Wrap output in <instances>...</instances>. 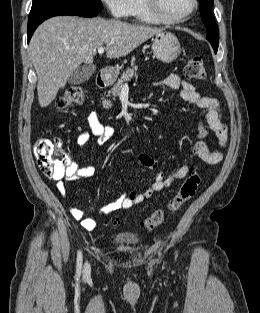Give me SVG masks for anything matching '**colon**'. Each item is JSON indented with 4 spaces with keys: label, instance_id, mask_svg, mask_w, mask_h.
Returning <instances> with one entry per match:
<instances>
[{
    "label": "colon",
    "instance_id": "obj_1",
    "mask_svg": "<svg viewBox=\"0 0 260 313\" xmlns=\"http://www.w3.org/2000/svg\"><path fill=\"white\" fill-rule=\"evenodd\" d=\"M185 75L187 78L197 81L205 80L206 70L203 59L201 57H192L189 59L185 67ZM84 99V90L80 86H72L66 92L58 97L55 101V108L64 110L71 106L81 103ZM34 155L40 171L48 178L58 180L64 176L69 166V157L60 147L57 140L49 138H38L34 144ZM201 183L198 173L191 172L186 178L178 193L169 200L165 208L156 209L149 217H147L142 225L152 230L161 225L164 221L166 212L178 211L187 201L191 200ZM113 224H117L118 220H113Z\"/></svg>",
    "mask_w": 260,
    "mask_h": 313
}]
</instances>
